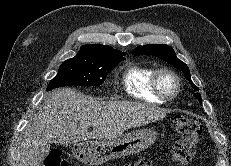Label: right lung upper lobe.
I'll list each match as a JSON object with an SVG mask.
<instances>
[{"label":"right lung upper lobe","instance_id":"right-lung-upper-lobe-1","mask_svg":"<svg viewBox=\"0 0 231 166\" xmlns=\"http://www.w3.org/2000/svg\"><path fill=\"white\" fill-rule=\"evenodd\" d=\"M119 50L112 49L111 46H105L101 44H87L81 46L77 57H92V58H101L107 55L121 54Z\"/></svg>","mask_w":231,"mask_h":166}]
</instances>
